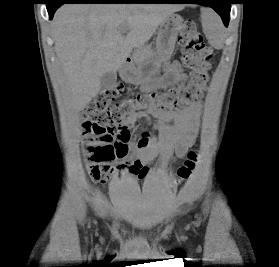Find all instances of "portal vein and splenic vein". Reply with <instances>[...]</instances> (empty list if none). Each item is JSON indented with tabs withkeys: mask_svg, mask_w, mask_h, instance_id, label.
Instances as JSON below:
<instances>
[{
	"mask_svg": "<svg viewBox=\"0 0 279 267\" xmlns=\"http://www.w3.org/2000/svg\"><path fill=\"white\" fill-rule=\"evenodd\" d=\"M121 31H122V32H125V30H124V29H121Z\"/></svg>",
	"mask_w": 279,
	"mask_h": 267,
	"instance_id": "1",
	"label": "portal vein and splenic vein"
}]
</instances>
